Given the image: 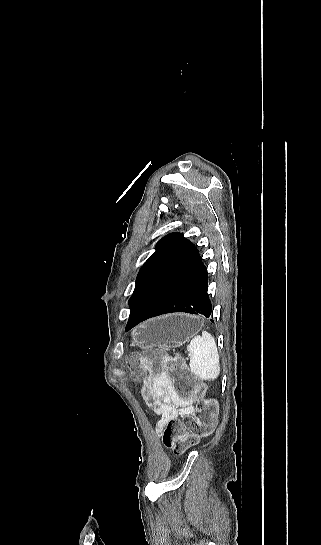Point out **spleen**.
<instances>
[{"label": "spleen", "mask_w": 321, "mask_h": 545, "mask_svg": "<svg viewBox=\"0 0 321 545\" xmlns=\"http://www.w3.org/2000/svg\"><path fill=\"white\" fill-rule=\"evenodd\" d=\"M187 351L191 357V373L202 381H215L220 373V361L214 337L203 331L190 341Z\"/></svg>", "instance_id": "obj_1"}]
</instances>
